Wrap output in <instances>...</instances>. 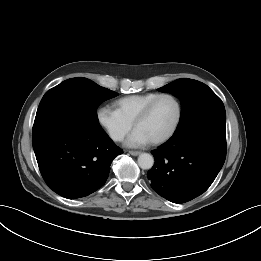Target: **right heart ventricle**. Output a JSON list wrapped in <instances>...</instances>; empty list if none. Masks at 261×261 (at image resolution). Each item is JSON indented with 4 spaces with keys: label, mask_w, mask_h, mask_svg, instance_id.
<instances>
[{
    "label": "right heart ventricle",
    "mask_w": 261,
    "mask_h": 261,
    "mask_svg": "<svg viewBox=\"0 0 261 261\" xmlns=\"http://www.w3.org/2000/svg\"><path fill=\"white\" fill-rule=\"evenodd\" d=\"M159 93H145L122 97L114 102L115 110L131 124L140 111Z\"/></svg>",
    "instance_id": "right-heart-ventricle-1"
}]
</instances>
